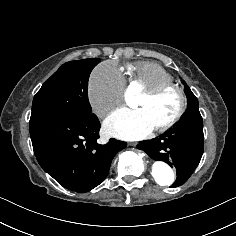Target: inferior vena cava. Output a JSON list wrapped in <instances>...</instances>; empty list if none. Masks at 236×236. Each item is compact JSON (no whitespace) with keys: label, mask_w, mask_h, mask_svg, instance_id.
Listing matches in <instances>:
<instances>
[{"label":"inferior vena cava","mask_w":236,"mask_h":236,"mask_svg":"<svg viewBox=\"0 0 236 236\" xmlns=\"http://www.w3.org/2000/svg\"><path fill=\"white\" fill-rule=\"evenodd\" d=\"M109 110H110L109 106L104 107L103 110H102V114L106 115Z\"/></svg>","instance_id":"obj_1"}]
</instances>
